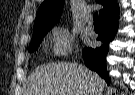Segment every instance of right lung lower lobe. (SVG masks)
<instances>
[{"mask_svg": "<svg viewBox=\"0 0 135 95\" xmlns=\"http://www.w3.org/2000/svg\"><path fill=\"white\" fill-rule=\"evenodd\" d=\"M118 29V16L101 21V32L97 40L102 42L95 49L84 48L82 54L84 63L92 71H96L109 84V75L106 70V56L109 51V43L113 40Z\"/></svg>", "mask_w": 135, "mask_h": 95, "instance_id": "1", "label": "right lung lower lobe"}]
</instances>
